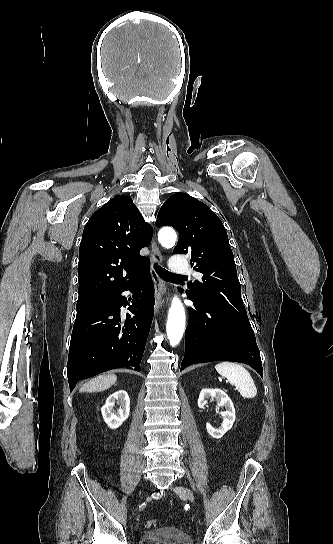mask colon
Returning a JSON list of instances; mask_svg holds the SVG:
<instances>
[{
    "label": "colon",
    "instance_id": "1",
    "mask_svg": "<svg viewBox=\"0 0 333 544\" xmlns=\"http://www.w3.org/2000/svg\"><path fill=\"white\" fill-rule=\"evenodd\" d=\"M156 526H157V522L155 520H148L145 523V527L148 528V529L155 528Z\"/></svg>",
    "mask_w": 333,
    "mask_h": 544
}]
</instances>
